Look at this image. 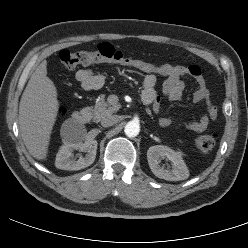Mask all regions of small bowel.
<instances>
[{
    "mask_svg": "<svg viewBox=\"0 0 248 248\" xmlns=\"http://www.w3.org/2000/svg\"><path fill=\"white\" fill-rule=\"evenodd\" d=\"M157 73H146L143 79L142 100L144 103L152 106L155 112L160 109L161 95L156 91L157 76L165 77L162 85L163 95L170 101H178L182 98L185 84L182 77L190 76L195 81L197 88L193 93L194 102H205L206 113L198 120H187L182 125L193 132L204 131L210 121L215 120L218 115V109L210 101V94L206 87L202 71L197 65H159ZM76 80L84 90H97L104 85L103 75L93 72L90 69H80L76 72ZM177 121L171 117H161L159 125L161 127L170 126Z\"/></svg>",
    "mask_w": 248,
    "mask_h": 248,
    "instance_id": "small-bowel-1",
    "label": "small bowel"
}]
</instances>
